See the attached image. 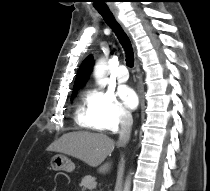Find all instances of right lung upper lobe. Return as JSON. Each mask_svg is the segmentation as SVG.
I'll return each mask as SVG.
<instances>
[{
	"mask_svg": "<svg viewBox=\"0 0 210 191\" xmlns=\"http://www.w3.org/2000/svg\"><path fill=\"white\" fill-rule=\"evenodd\" d=\"M93 57L92 56H88L81 64L77 75H76V80L74 83V88H73V94L76 93V91L82 86L84 85V83L86 82L90 71H91V67L93 66Z\"/></svg>",
	"mask_w": 210,
	"mask_h": 191,
	"instance_id": "cb5924a9",
	"label": "right lung upper lobe"
}]
</instances>
